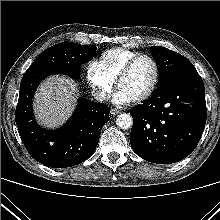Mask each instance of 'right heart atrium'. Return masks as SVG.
<instances>
[{
	"label": "right heart atrium",
	"mask_w": 220,
	"mask_h": 220,
	"mask_svg": "<svg viewBox=\"0 0 220 220\" xmlns=\"http://www.w3.org/2000/svg\"><path fill=\"white\" fill-rule=\"evenodd\" d=\"M87 78L98 100H104L111 92L114 78L111 77L100 60H92L87 66Z\"/></svg>",
	"instance_id": "1"
}]
</instances>
